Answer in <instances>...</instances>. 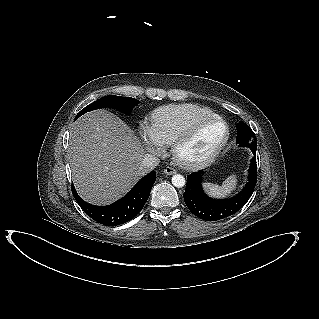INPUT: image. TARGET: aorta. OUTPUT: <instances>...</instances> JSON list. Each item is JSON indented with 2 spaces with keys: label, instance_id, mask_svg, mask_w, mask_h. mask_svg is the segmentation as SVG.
<instances>
[{
  "label": "aorta",
  "instance_id": "aorta-1",
  "mask_svg": "<svg viewBox=\"0 0 319 319\" xmlns=\"http://www.w3.org/2000/svg\"><path fill=\"white\" fill-rule=\"evenodd\" d=\"M172 184L177 188H181L185 185V178L180 174H176L172 177Z\"/></svg>",
  "mask_w": 319,
  "mask_h": 319
}]
</instances>
